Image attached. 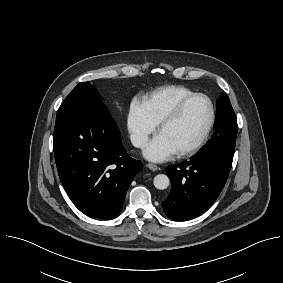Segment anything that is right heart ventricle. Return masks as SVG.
<instances>
[{
    "instance_id": "obj_1",
    "label": "right heart ventricle",
    "mask_w": 283,
    "mask_h": 283,
    "mask_svg": "<svg viewBox=\"0 0 283 283\" xmlns=\"http://www.w3.org/2000/svg\"><path fill=\"white\" fill-rule=\"evenodd\" d=\"M195 92L182 85H167L148 94L143 102L147 115L159 124L186 97Z\"/></svg>"
}]
</instances>
